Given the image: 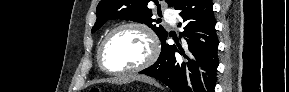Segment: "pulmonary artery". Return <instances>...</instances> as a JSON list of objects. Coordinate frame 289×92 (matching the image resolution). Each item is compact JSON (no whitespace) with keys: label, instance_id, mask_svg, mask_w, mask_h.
Wrapping results in <instances>:
<instances>
[{"label":"pulmonary artery","instance_id":"obj_1","mask_svg":"<svg viewBox=\"0 0 289 92\" xmlns=\"http://www.w3.org/2000/svg\"><path fill=\"white\" fill-rule=\"evenodd\" d=\"M165 19L171 24L175 25L176 23V16L175 13L172 10H165L164 12Z\"/></svg>","mask_w":289,"mask_h":92}]
</instances>
